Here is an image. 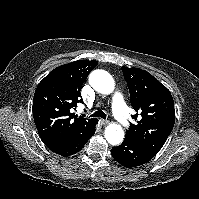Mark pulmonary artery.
<instances>
[{"label": "pulmonary artery", "instance_id": "1", "mask_svg": "<svg viewBox=\"0 0 199 199\" xmlns=\"http://www.w3.org/2000/svg\"><path fill=\"white\" fill-rule=\"evenodd\" d=\"M112 110L116 119L126 125L129 121V113L126 107L123 96L119 92H114L112 95Z\"/></svg>", "mask_w": 199, "mask_h": 199}]
</instances>
